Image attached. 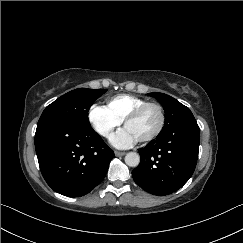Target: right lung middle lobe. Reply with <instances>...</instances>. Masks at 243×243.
Listing matches in <instances>:
<instances>
[{
	"mask_svg": "<svg viewBox=\"0 0 243 243\" xmlns=\"http://www.w3.org/2000/svg\"><path fill=\"white\" fill-rule=\"evenodd\" d=\"M107 89L78 88L59 97L43 111L37 127L50 122H65L91 128L88 112Z\"/></svg>",
	"mask_w": 243,
	"mask_h": 243,
	"instance_id": "1",
	"label": "right lung middle lobe"
}]
</instances>
